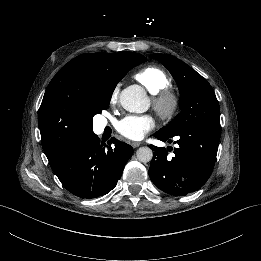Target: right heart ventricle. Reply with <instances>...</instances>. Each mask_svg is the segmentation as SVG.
Instances as JSON below:
<instances>
[{
  "label": "right heart ventricle",
  "instance_id": "e07e8e85",
  "mask_svg": "<svg viewBox=\"0 0 261 261\" xmlns=\"http://www.w3.org/2000/svg\"><path fill=\"white\" fill-rule=\"evenodd\" d=\"M137 80L153 95L167 88L170 84V79L166 72L160 67L153 65L143 68L137 74Z\"/></svg>",
  "mask_w": 261,
  "mask_h": 261
}]
</instances>
